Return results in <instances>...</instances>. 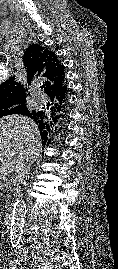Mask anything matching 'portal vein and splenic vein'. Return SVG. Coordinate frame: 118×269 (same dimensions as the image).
<instances>
[{"label": "portal vein and splenic vein", "mask_w": 118, "mask_h": 269, "mask_svg": "<svg viewBox=\"0 0 118 269\" xmlns=\"http://www.w3.org/2000/svg\"><path fill=\"white\" fill-rule=\"evenodd\" d=\"M1 174H2V175L5 174V171H3Z\"/></svg>", "instance_id": "18ae733b"}]
</instances>
